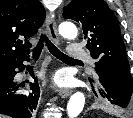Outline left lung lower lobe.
I'll return each instance as SVG.
<instances>
[{
  "mask_svg": "<svg viewBox=\"0 0 133 118\" xmlns=\"http://www.w3.org/2000/svg\"><path fill=\"white\" fill-rule=\"evenodd\" d=\"M96 72L101 86L99 92L108 105L126 108L133 103L131 89L116 81L103 69L96 68Z\"/></svg>",
  "mask_w": 133,
  "mask_h": 118,
  "instance_id": "left-lung-lower-lobe-1",
  "label": "left lung lower lobe"
}]
</instances>
